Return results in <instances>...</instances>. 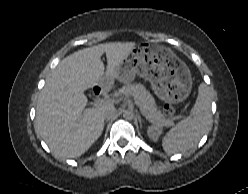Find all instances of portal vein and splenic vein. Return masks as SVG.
<instances>
[{
  "label": "portal vein and splenic vein",
  "instance_id": "1",
  "mask_svg": "<svg viewBox=\"0 0 248 194\" xmlns=\"http://www.w3.org/2000/svg\"><path fill=\"white\" fill-rule=\"evenodd\" d=\"M109 101H111L110 98L99 99V100L95 101L94 104H95V105H102V104H105V103H107V102H109ZM135 103H136L137 105H139V102L136 101V100H135Z\"/></svg>",
  "mask_w": 248,
  "mask_h": 194
}]
</instances>
